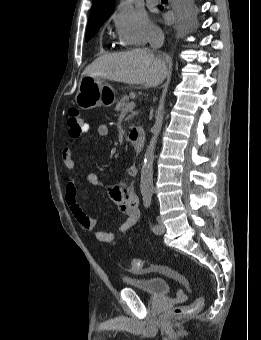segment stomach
Here are the masks:
<instances>
[{"instance_id":"stomach-1","label":"stomach","mask_w":261,"mask_h":340,"mask_svg":"<svg viewBox=\"0 0 261 340\" xmlns=\"http://www.w3.org/2000/svg\"><path fill=\"white\" fill-rule=\"evenodd\" d=\"M117 101L114 88L102 78L83 76L75 96L76 104L84 110L111 107Z\"/></svg>"}]
</instances>
